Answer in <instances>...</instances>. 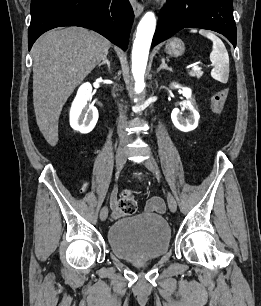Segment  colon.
I'll use <instances>...</instances> for the list:
<instances>
[{
  "label": "colon",
  "instance_id": "1",
  "mask_svg": "<svg viewBox=\"0 0 261 306\" xmlns=\"http://www.w3.org/2000/svg\"><path fill=\"white\" fill-rule=\"evenodd\" d=\"M229 90L223 88L216 92L211 99L212 110L216 114H221L224 111ZM118 210L125 215H132L137 211V200L131 191H125L121 194L117 201Z\"/></svg>",
  "mask_w": 261,
  "mask_h": 306
}]
</instances>
